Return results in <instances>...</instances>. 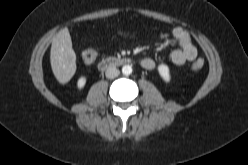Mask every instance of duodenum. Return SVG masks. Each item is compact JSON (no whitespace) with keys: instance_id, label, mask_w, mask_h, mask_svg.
<instances>
[{"instance_id":"obj_1","label":"duodenum","mask_w":248,"mask_h":165,"mask_svg":"<svg viewBox=\"0 0 248 165\" xmlns=\"http://www.w3.org/2000/svg\"><path fill=\"white\" fill-rule=\"evenodd\" d=\"M130 63L131 59L129 57H110L101 60L98 63V68L100 70H106L114 66L128 65Z\"/></svg>"}]
</instances>
